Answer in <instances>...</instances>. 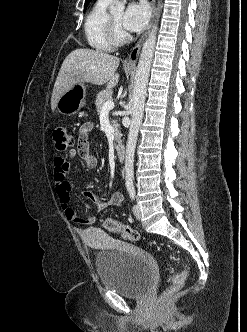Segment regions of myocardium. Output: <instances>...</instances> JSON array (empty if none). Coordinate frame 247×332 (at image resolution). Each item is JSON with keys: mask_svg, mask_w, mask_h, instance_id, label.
<instances>
[{"mask_svg": "<svg viewBox=\"0 0 247 332\" xmlns=\"http://www.w3.org/2000/svg\"><path fill=\"white\" fill-rule=\"evenodd\" d=\"M105 35L108 42L114 46H122L130 40L129 34L120 35L118 34L114 22L112 20L111 14H108L105 22Z\"/></svg>", "mask_w": 247, "mask_h": 332, "instance_id": "myocardium-1", "label": "myocardium"}]
</instances>
